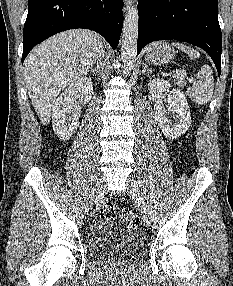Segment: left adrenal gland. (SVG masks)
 I'll return each mask as SVG.
<instances>
[{"label":"left adrenal gland","mask_w":233,"mask_h":286,"mask_svg":"<svg viewBox=\"0 0 233 286\" xmlns=\"http://www.w3.org/2000/svg\"><path fill=\"white\" fill-rule=\"evenodd\" d=\"M145 72H147L148 74L152 73V69H148L147 64H144V66H143L142 73H145Z\"/></svg>","instance_id":"obj_1"}]
</instances>
